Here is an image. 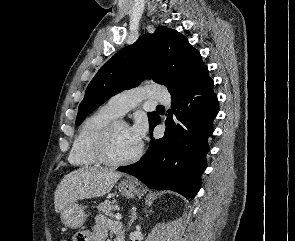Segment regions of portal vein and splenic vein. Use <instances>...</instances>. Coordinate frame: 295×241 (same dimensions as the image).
Here are the masks:
<instances>
[{"instance_id":"18ae733b","label":"portal vein and splenic vein","mask_w":295,"mask_h":241,"mask_svg":"<svg viewBox=\"0 0 295 241\" xmlns=\"http://www.w3.org/2000/svg\"><path fill=\"white\" fill-rule=\"evenodd\" d=\"M115 218H116V220H121L122 219V215L120 213H116L115 214Z\"/></svg>"}]
</instances>
